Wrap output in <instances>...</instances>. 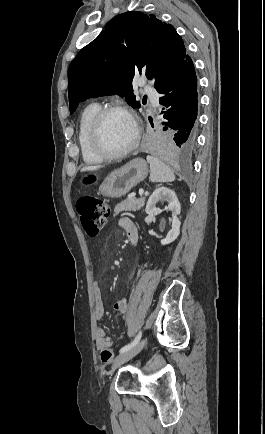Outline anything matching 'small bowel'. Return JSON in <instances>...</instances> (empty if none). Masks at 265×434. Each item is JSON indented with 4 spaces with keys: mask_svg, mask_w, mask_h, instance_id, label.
I'll return each instance as SVG.
<instances>
[{
    "mask_svg": "<svg viewBox=\"0 0 265 434\" xmlns=\"http://www.w3.org/2000/svg\"><path fill=\"white\" fill-rule=\"evenodd\" d=\"M119 225L131 242L137 243L139 241L138 229L135 223L131 219L122 218L120 220ZM93 292L95 297L94 315L95 318L98 321H100L105 316V301H104L102 287L97 281L93 283ZM127 310H128V296L120 299L114 304V313L117 315L124 317ZM103 340H110L113 347L114 342L112 338L107 335V332L104 328L98 327L95 330V345L98 350L101 349V343Z\"/></svg>",
    "mask_w": 265,
    "mask_h": 434,
    "instance_id": "1",
    "label": "small bowel"
}]
</instances>
